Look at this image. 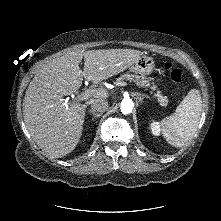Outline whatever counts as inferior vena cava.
<instances>
[{"label": "inferior vena cava", "mask_w": 221, "mask_h": 221, "mask_svg": "<svg viewBox=\"0 0 221 221\" xmlns=\"http://www.w3.org/2000/svg\"><path fill=\"white\" fill-rule=\"evenodd\" d=\"M108 108V101L105 99H97L91 103V110L93 113L102 114Z\"/></svg>", "instance_id": "1"}]
</instances>
